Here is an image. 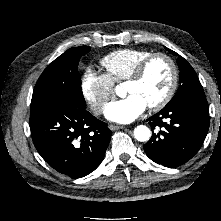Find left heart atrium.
I'll return each instance as SVG.
<instances>
[{"label":"left heart atrium","mask_w":221,"mask_h":221,"mask_svg":"<svg viewBox=\"0 0 221 221\" xmlns=\"http://www.w3.org/2000/svg\"><path fill=\"white\" fill-rule=\"evenodd\" d=\"M146 107V103L139 96L130 94L124 99L109 103L105 108V116L117 123H130L138 118Z\"/></svg>","instance_id":"39dd6f15"}]
</instances>
